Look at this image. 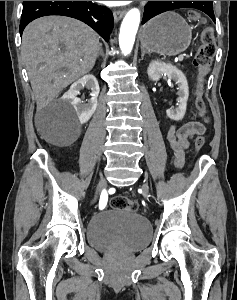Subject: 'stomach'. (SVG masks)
Listing matches in <instances>:
<instances>
[{"instance_id": "1", "label": "stomach", "mask_w": 237, "mask_h": 300, "mask_svg": "<svg viewBox=\"0 0 237 300\" xmlns=\"http://www.w3.org/2000/svg\"><path fill=\"white\" fill-rule=\"evenodd\" d=\"M192 31L177 13L168 11L143 25L140 41L144 49L161 55H178L188 49Z\"/></svg>"}]
</instances>
